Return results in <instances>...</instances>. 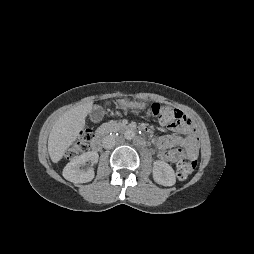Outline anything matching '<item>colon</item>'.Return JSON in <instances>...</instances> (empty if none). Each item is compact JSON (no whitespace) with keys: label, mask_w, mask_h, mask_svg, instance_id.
Instances as JSON below:
<instances>
[{"label":"colon","mask_w":254,"mask_h":254,"mask_svg":"<svg viewBox=\"0 0 254 254\" xmlns=\"http://www.w3.org/2000/svg\"><path fill=\"white\" fill-rule=\"evenodd\" d=\"M149 114L158 119L161 123L171 127H182L191 124L190 118L181 110L176 109L168 104L152 103L149 106ZM90 138L88 132H83L77 142L67 150L66 156L74 158L78 153L87 149V141ZM197 161L195 159L181 160L177 164V176L180 179L188 178L196 169Z\"/></svg>","instance_id":"5ec220e1"}]
</instances>
